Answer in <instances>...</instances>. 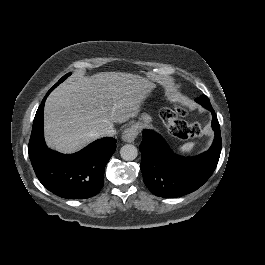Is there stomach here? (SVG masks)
<instances>
[{"instance_id":"stomach-1","label":"stomach","mask_w":265,"mask_h":265,"mask_svg":"<svg viewBox=\"0 0 265 265\" xmlns=\"http://www.w3.org/2000/svg\"><path fill=\"white\" fill-rule=\"evenodd\" d=\"M153 121V117L148 112H141L135 125H138L142 130L146 129Z\"/></svg>"}]
</instances>
